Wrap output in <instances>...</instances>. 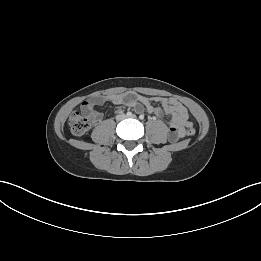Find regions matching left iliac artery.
I'll return each instance as SVG.
<instances>
[{"instance_id":"obj_1","label":"left iliac artery","mask_w":261,"mask_h":261,"mask_svg":"<svg viewBox=\"0 0 261 261\" xmlns=\"http://www.w3.org/2000/svg\"><path fill=\"white\" fill-rule=\"evenodd\" d=\"M139 118H140L141 120H143V119H144V115H140Z\"/></svg>"}]
</instances>
